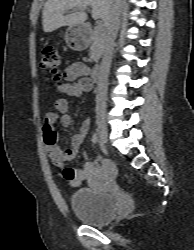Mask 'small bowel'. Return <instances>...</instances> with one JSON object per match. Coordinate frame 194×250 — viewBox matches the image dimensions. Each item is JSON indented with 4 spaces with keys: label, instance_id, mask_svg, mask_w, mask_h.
I'll return each mask as SVG.
<instances>
[{
    "label": "small bowel",
    "instance_id": "obj_1",
    "mask_svg": "<svg viewBox=\"0 0 194 250\" xmlns=\"http://www.w3.org/2000/svg\"><path fill=\"white\" fill-rule=\"evenodd\" d=\"M88 67L83 63H74L70 65L65 72V83L61 87L64 95L69 97H79L84 92L92 88V81L88 77ZM69 105L65 98H59L55 101L45 116L43 126V138L47 154L52 160L55 167L62 171V177L71 185L77 186L84 181H90L97 174L98 169L92 163H86L81 169L65 168L67 162L75 159L79 147L89 131L90 122L88 119L83 120L78 132L71 136L68 146L62 148L58 144V134L56 124L60 123L62 127H69L72 123V117L68 113ZM102 171L108 175L114 174L111 165L105 164Z\"/></svg>",
    "mask_w": 194,
    "mask_h": 250
}]
</instances>
